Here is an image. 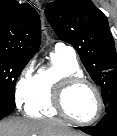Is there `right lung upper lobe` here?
<instances>
[{
	"mask_svg": "<svg viewBox=\"0 0 117 136\" xmlns=\"http://www.w3.org/2000/svg\"><path fill=\"white\" fill-rule=\"evenodd\" d=\"M40 19L35 9L15 0H0V55L32 58L40 46Z\"/></svg>",
	"mask_w": 117,
	"mask_h": 136,
	"instance_id": "1",
	"label": "right lung upper lobe"
}]
</instances>
